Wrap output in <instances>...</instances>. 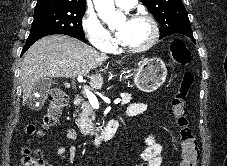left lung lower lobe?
<instances>
[{"instance_id":"obj_1","label":"left lung lower lobe","mask_w":227,"mask_h":166,"mask_svg":"<svg viewBox=\"0 0 227 166\" xmlns=\"http://www.w3.org/2000/svg\"><path fill=\"white\" fill-rule=\"evenodd\" d=\"M189 38L195 43V39L193 36H190Z\"/></svg>"}]
</instances>
